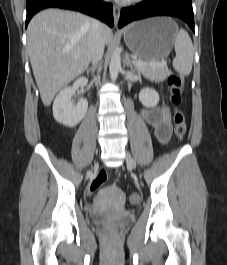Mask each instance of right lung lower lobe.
<instances>
[{
	"mask_svg": "<svg viewBox=\"0 0 227 265\" xmlns=\"http://www.w3.org/2000/svg\"><path fill=\"white\" fill-rule=\"evenodd\" d=\"M63 8L80 11L113 26V8L101 0H27L26 27L35 13L45 8Z\"/></svg>",
	"mask_w": 227,
	"mask_h": 265,
	"instance_id": "obj_1",
	"label": "right lung lower lobe"
}]
</instances>
